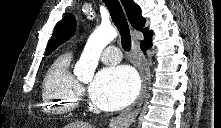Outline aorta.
I'll return each mask as SVG.
<instances>
[{
	"label": "aorta",
	"instance_id": "1",
	"mask_svg": "<svg viewBox=\"0 0 221 128\" xmlns=\"http://www.w3.org/2000/svg\"><path fill=\"white\" fill-rule=\"evenodd\" d=\"M118 31L111 25H100L90 35L79 61L74 68V74L85 82H90L97 68L103 49L113 41Z\"/></svg>",
	"mask_w": 221,
	"mask_h": 128
}]
</instances>
